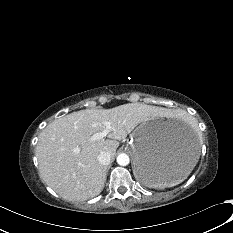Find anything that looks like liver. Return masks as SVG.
I'll return each instance as SVG.
<instances>
[{"label": "liver", "instance_id": "obj_1", "mask_svg": "<svg viewBox=\"0 0 233 233\" xmlns=\"http://www.w3.org/2000/svg\"><path fill=\"white\" fill-rule=\"evenodd\" d=\"M176 114L168 109L142 103H128L111 109H85L54 120L39 135L36 157L40 177L60 197L85 201L100 194L106 168L98 161L101 152L116 154L119 140L141 123ZM109 139L91 141L105 130Z\"/></svg>", "mask_w": 233, "mask_h": 233}]
</instances>
